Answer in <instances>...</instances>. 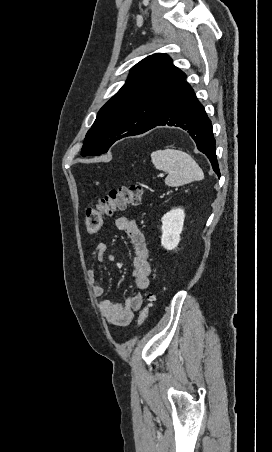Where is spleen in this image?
I'll return each mask as SVG.
<instances>
[{
    "label": "spleen",
    "mask_w": 272,
    "mask_h": 452,
    "mask_svg": "<svg viewBox=\"0 0 272 452\" xmlns=\"http://www.w3.org/2000/svg\"><path fill=\"white\" fill-rule=\"evenodd\" d=\"M151 160L156 169L168 173L165 184L169 186H181L204 178L196 161L181 150H156L151 154Z\"/></svg>",
    "instance_id": "3e777b00"
}]
</instances>
